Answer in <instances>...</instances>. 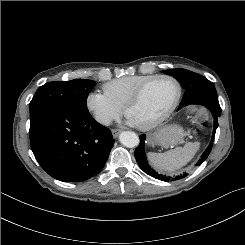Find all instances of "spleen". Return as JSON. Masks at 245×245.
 I'll return each instance as SVG.
<instances>
[{
  "instance_id": "3e777b00",
  "label": "spleen",
  "mask_w": 245,
  "mask_h": 245,
  "mask_svg": "<svg viewBox=\"0 0 245 245\" xmlns=\"http://www.w3.org/2000/svg\"><path fill=\"white\" fill-rule=\"evenodd\" d=\"M199 147V142H188L184 147H176L164 153L149 152L147 158L158 171L173 172L190 162L199 150Z\"/></svg>"
}]
</instances>
